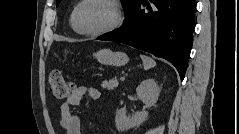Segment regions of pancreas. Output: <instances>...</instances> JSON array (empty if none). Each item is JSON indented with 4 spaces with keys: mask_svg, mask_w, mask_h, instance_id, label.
<instances>
[{
    "mask_svg": "<svg viewBox=\"0 0 239 134\" xmlns=\"http://www.w3.org/2000/svg\"><path fill=\"white\" fill-rule=\"evenodd\" d=\"M119 85V82L116 78H112L109 81L105 80L102 82L101 86L102 88L108 89V90H114Z\"/></svg>",
    "mask_w": 239,
    "mask_h": 134,
    "instance_id": "1",
    "label": "pancreas"
}]
</instances>
